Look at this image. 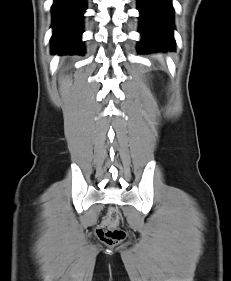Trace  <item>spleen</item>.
Masks as SVG:
<instances>
[{
	"label": "spleen",
	"mask_w": 231,
	"mask_h": 281,
	"mask_svg": "<svg viewBox=\"0 0 231 281\" xmlns=\"http://www.w3.org/2000/svg\"><path fill=\"white\" fill-rule=\"evenodd\" d=\"M157 57H158L161 61H163L162 55H157Z\"/></svg>",
	"instance_id": "obj_1"
}]
</instances>
